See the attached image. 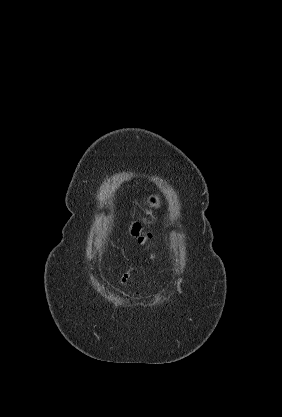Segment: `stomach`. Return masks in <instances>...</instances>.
Here are the masks:
<instances>
[{"label":"stomach","instance_id":"0dacf381","mask_svg":"<svg viewBox=\"0 0 282 417\" xmlns=\"http://www.w3.org/2000/svg\"><path fill=\"white\" fill-rule=\"evenodd\" d=\"M146 200L149 206H152V209H159V206L161 204V198L159 194H155V192H152V194H148Z\"/></svg>","mask_w":282,"mask_h":417}]
</instances>
